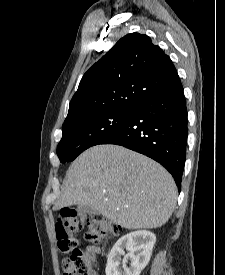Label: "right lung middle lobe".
<instances>
[{
	"label": "right lung middle lobe",
	"instance_id": "right-lung-middle-lobe-1",
	"mask_svg": "<svg viewBox=\"0 0 225 275\" xmlns=\"http://www.w3.org/2000/svg\"><path fill=\"white\" fill-rule=\"evenodd\" d=\"M132 110L102 112L76 119L62 127L57 146L61 162L73 161L89 147L99 144L130 117Z\"/></svg>",
	"mask_w": 225,
	"mask_h": 275
}]
</instances>
